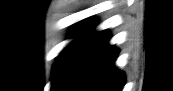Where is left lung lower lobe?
Returning a JSON list of instances; mask_svg holds the SVG:
<instances>
[{"instance_id": "obj_1", "label": "left lung lower lobe", "mask_w": 173, "mask_h": 91, "mask_svg": "<svg viewBox=\"0 0 173 91\" xmlns=\"http://www.w3.org/2000/svg\"><path fill=\"white\" fill-rule=\"evenodd\" d=\"M107 31L91 32L69 56L52 91H121L125 75L114 66L118 50Z\"/></svg>"}]
</instances>
